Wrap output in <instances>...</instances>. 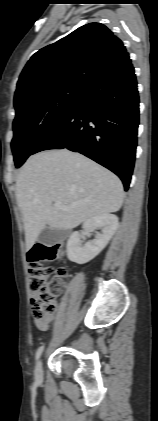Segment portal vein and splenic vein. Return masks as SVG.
<instances>
[{"instance_id": "18ae733b", "label": "portal vein and splenic vein", "mask_w": 158, "mask_h": 421, "mask_svg": "<svg viewBox=\"0 0 158 421\" xmlns=\"http://www.w3.org/2000/svg\"><path fill=\"white\" fill-rule=\"evenodd\" d=\"M54 207L58 209H67L65 206L62 205L60 201L54 202Z\"/></svg>"}]
</instances>
